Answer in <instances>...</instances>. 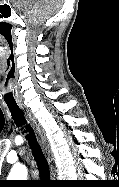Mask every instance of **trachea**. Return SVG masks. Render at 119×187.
Wrapping results in <instances>:
<instances>
[{
    "label": "trachea",
    "instance_id": "trachea-1",
    "mask_svg": "<svg viewBox=\"0 0 119 187\" xmlns=\"http://www.w3.org/2000/svg\"><path fill=\"white\" fill-rule=\"evenodd\" d=\"M8 108L12 114V118L15 124L17 125V127L23 126L26 123V120L24 117V113L19 108V106L8 104ZM27 131L29 132V134L27 135V139L32 149V153L35 158V161L37 163L39 174L42 178L48 179L50 178V170H49L48 162L42 152L40 145L37 142L34 130L29 125H27Z\"/></svg>",
    "mask_w": 119,
    "mask_h": 187
}]
</instances>
